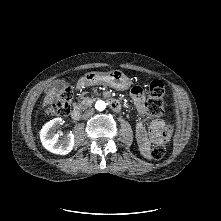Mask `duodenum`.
Returning <instances> with one entry per match:
<instances>
[{
  "label": "duodenum",
  "instance_id": "obj_1",
  "mask_svg": "<svg viewBox=\"0 0 221 221\" xmlns=\"http://www.w3.org/2000/svg\"><path fill=\"white\" fill-rule=\"evenodd\" d=\"M86 83H87L86 80H82L79 84V87H83ZM105 98L107 99V101L109 103V106L113 111L122 110V103L118 99L113 98L110 95H105ZM80 116H81L80 109L79 108H74L71 112V118L73 120H78L80 118Z\"/></svg>",
  "mask_w": 221,
  "mask_h": 221
}]
</instances>
